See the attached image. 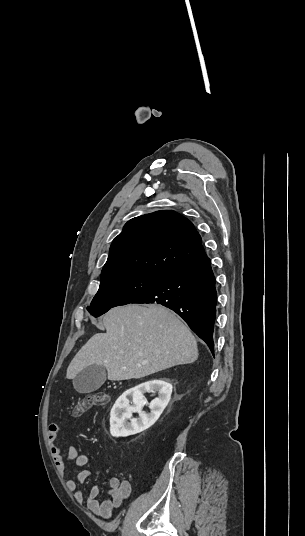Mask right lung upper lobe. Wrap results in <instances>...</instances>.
<instances>
[{"mask_svg":"<svg viewBox=\"0 0 305 536\" xmlns=\"http://www.w3.org/2000/svg\"><path fill=\"white\" fill-rule=\"evenodd\" d=\"M194 225L171 210L128 221L113 240L101 279L129 273L170 274L206 258Z\"/></svg>","mask_w":305,"mask_h":536,"instance_id":"obj_1","label":"right lung upper lobe"}]
</instances>
